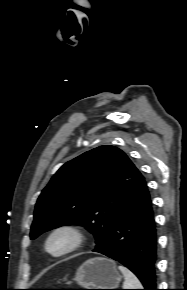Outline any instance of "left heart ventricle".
I'll return each instance as SVG.
<instances>
[{"instance_id":"left-heart-ventricle-1","label":"left heart ventricle","mask_w":187,"mask_h":290,"mask_svg":"<svg viewBox=\"0 0 187 290\" xmlns=\"http://www.w3.org/2000/svg\"><path fill=\"white\" fill-rule=\"evenodd\" d=\"M66 244V239L64 237H57L51 242V249L54 251H58L64 247Z\"/></svg>"}]
</instances>
